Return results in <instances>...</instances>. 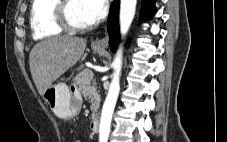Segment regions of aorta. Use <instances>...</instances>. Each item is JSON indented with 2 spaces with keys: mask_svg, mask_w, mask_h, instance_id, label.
<instances>
[{
  "mask_svg": "<svg viewBox=\"0 0 227 142\" xmlns=\"http://www.w3.org/2000/svg\"><path fill=\"white\" fill-rule=\"evenodd\" d=\"M137 0H121L120 3V31L125 36L133 21ZM114 73L112 75V81L109 87L108 94L103 104L100 124H99V142H107L112 115L117 102V98L120 91V75L122 68V49L116 53L113 61Z\"/></svg>",
  "mask_w": 227,
  "mask_h": 142,
  "instance_id": "obj_1",
  "label": "aorta"
}]
</instances>
